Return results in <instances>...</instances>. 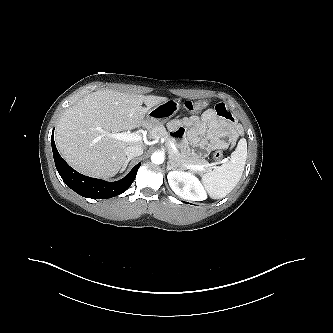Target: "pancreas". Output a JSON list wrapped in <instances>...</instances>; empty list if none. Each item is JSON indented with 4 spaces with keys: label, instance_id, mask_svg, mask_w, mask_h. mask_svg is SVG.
Returning <instances> with one entry per match:
<instances>
[{
    "label": "pancreas",
    "instance_id": "obj_1",
    "mask_svg": "<svg viewBox=\"0 0 333 333\" xmlns=\"http://www.w3.org/2000/svg\"><path fill=\"white\" fill-rule=\"evenodd\" d=\"M150 135L152 138H164L167 140V149L169 153V162L175 166L181 165H207V161L205 159H200L197 155L192 154L186 151L182 145L177 144V152H175L169 144V140H172L166 128L162 125H154L150 128ZM174 141V140H172ZM211 166L205 167L203 171H199L200 173L209 171Z\"/></svg>",
    "mask_w": 333,
    "mask_h": 333
}]
</instances>
